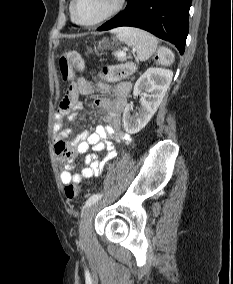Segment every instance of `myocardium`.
<instances>
[{"mask_svg":"<svg viewBox=\"0 0 233 284\" xmlns=\"http://www.w3.org/2000/svg\"><path fill=\"white\" fill-rule=\"evenodd\" d=\"M76 2H77V0H71V4H70L71 18L76 24H78L80 26H84V27H93V26H97L99 24H102V23L108 21L109 19H111L115 15H117L122 10V8L125 4V0H115L113 7L106 14H104L102 17H100L99 19H97L93 22L85 23V22L79 21L76 17V14H75Z\"/></svg>","mask_w":233,"mask_h":284,"instance_id":"myocardium-1","label":"myocardium"}]
</instances>
